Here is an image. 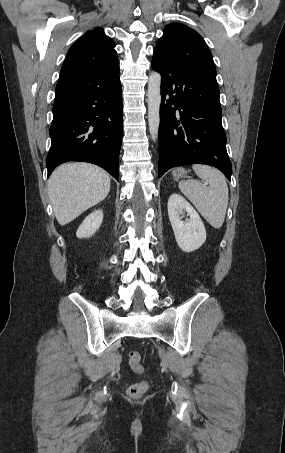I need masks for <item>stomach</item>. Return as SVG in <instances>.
I'll list each match as a JSON object with an SVG mask.
<instances>
[{
	"instance_id": "obj_1",
	"label": "stomach",
	"mask_w": 285,
	"mask_h": 453,
	"mask_svg": "<svg viewBox=\"0 0 285 453\" xmlns=\"http://www.w3.org/2000/svg\"><path fill=\"white\" fill-rule=\"evenodd\" d=\"M173 176L175 180H179L187 177V171L184 168H176L173 170Z\"/></svg>"
}]
</instances>
